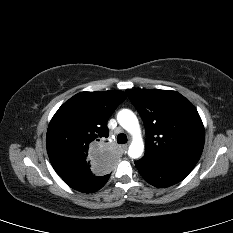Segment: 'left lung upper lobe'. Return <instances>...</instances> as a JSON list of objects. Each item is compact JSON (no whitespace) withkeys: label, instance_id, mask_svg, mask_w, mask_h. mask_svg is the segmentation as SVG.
I'll return each instance as SVG.
<instances>
[{"label":"left lung upper lobe","instance_id":"left-lung-upper-lobe-1","mask_svg":"<svg viewBox=\"0 0 233 233\" xmlns=\"http://www.w3.org/2000/svg\"><path fill=\"white\" fill-rule=\"evenodd\" d=\"M146 130V157L198 162L205 139L202 120L189 100L176 91L128 89Z\"/></svg>","mask_w":233,"mask_h":233}]
</instances>
